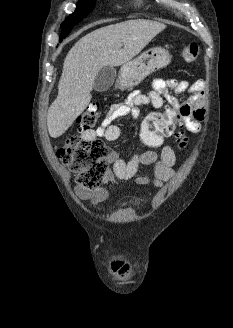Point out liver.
<instances>
[{
  "label": "liver",
  "instance_id": "6515ba94",
  "mask_svg": "<svg viewBox=\"0 0 233 328\" xmlns=\"http://www.w3.org/2000/svg\"><path fill=\"white\" fill-rule=\"evenodd\" d=\"M165 28L155 21L129 20L96 29L77 41L64 60L58 95L48 109L49 135H63L86 109L102 67L129 62Z\"/></svg>",
  "mask_w": 233,
  "mask_h": 328
}]
</instances>
